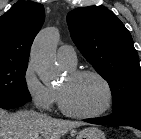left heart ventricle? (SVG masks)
<instances>
[{
	"label": "left heart ventricle",
	"instance_id": "obj_1",
	"mask_svg": "<svg viewBox=\"0 0 141 139\" xmlns=\"http://www.w3.org/2000/svg\"><path fill=\"white\" fill-rule=\"evenodd\" d=\"M58 88L64 92L69 107L77 112L94 113L106 103L105 87L93 76L71 80L67 75Z\"/></svg>",
	"mask_w": 141,
	"mask_h": 139
}]
</instances>
